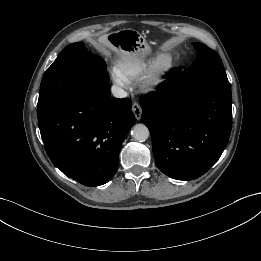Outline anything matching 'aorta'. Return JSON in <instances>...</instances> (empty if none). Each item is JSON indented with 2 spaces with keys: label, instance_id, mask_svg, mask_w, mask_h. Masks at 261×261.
Here are the masks:
<instances>
[{
  "label": "aorta",
  "instance_id": "aorta-1",
  "mask_svg": "<svg viewBox=\"0 0 261 261\" xmlns=\"http://www.w3.org/2000/svg\"><path fill=\"white\" fill-rule=\"evenodd\" d=\"M149 130L144 124H136L132 128L131 136L138 142H143L149 137Z\"/></svg>",
  "mask_w": 261,
  "mask_h": 261
}]
</instances>
